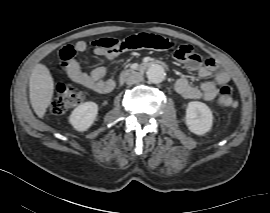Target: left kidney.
I'll use <instances>...</instances> for the list:
<instances>
[{"label": "left kidney", "mask_w": 270, "mask_h": 213, "mask_svg": "<svg viewBox=\"0 0 270 213\" xmlns=\"http://www.w3.org/2000/svg\"><path fill=\"white\" fill-rule=\"evenodd\" d=\"M185 122L192 133L204 135L212 128V111L205 103L191 101L187 105Z\"/></svg>", "instance_id": "left-kidney-1"}]
</instances>
